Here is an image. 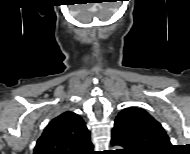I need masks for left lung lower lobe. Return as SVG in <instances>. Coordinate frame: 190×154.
<instances>
[{
	"label": "left lung lower lobe",
	"instance_id": "0a47b994",
	"mask_svg": "<svg viewBox=\"0 0 190 154\" xmlns=\"http://www.w3.org/2000/svg\"><path fill=\"white\" fill-rule=\"evenodd\" d=\"M111 144L122 146L124 148L123 150H121L123 154H144L142 151L138 150L131 141L126 138V136L119 128L113 129Z\"/></svg>",
	"mask_w": 190,
	"mask_h": 154
}]
</instances>
